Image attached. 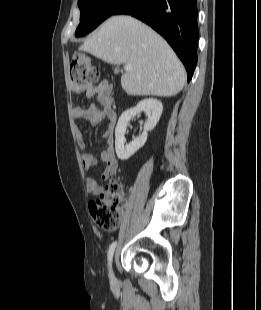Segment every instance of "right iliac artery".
I'll list each match as a JSON object with an SVG mask.
<instances>
[{"mask_svg": "<svg viewBox=\"0 0 261 310\" xmlns=\"http://www.w3.org/2000/svg\"><path fill=\"white\" fill-rule=\"evenodd\" d=\"M116 241L113 242L110 247H109V251H108V263L110 265L111 261H112V257H113V254H114V251H115V248H116Z\"/></svg>", "mask_w": 261, "mask_h": 310, "instance_id": "82829eb1", "label": "right iliac artery"}]
</instances>
